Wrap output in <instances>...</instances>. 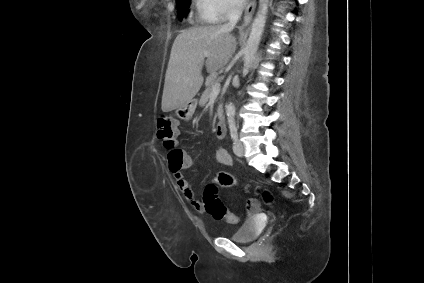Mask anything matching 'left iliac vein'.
Instances as JSON below:
<instances>
[{"instance_id":"4c4485c4","label":"left iliac vein","mask_w":424,"mask_h":283,"mask_svg":"<svg viewBox=\"0 0 424 283\" xmlns=\"http://www.w3.org/2000/svg\"><path fill=\"white\" fill-rule=\"evenodd\" d=\"M233 151L237 156L243 157L244 152H245L244 144L239 140L235 141V143L233 145Z\"/></svg>"}]
</instances>
